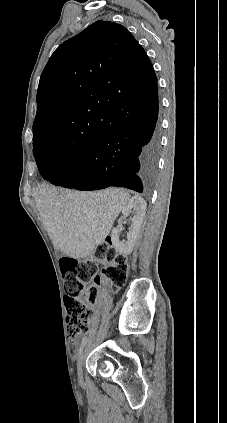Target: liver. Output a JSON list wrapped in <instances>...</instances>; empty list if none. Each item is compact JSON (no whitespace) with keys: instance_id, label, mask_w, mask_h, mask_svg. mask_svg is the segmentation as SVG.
I'll return each mask as SVG.
<instances>
[{"instance_id":"liver-1","label":"liver","mask_w":227,"mask_h":423,"mask_svg":"<svg viewBox=\"0 0 227 423\" xmlns=\"http://www.w3.org/2000/svg\"><path fill=\"white\" fill-rule=\"evenodd\" d=\"M129 198L128 192L119 188L76 192L43 186L35 196V206L55 249L80 259L104 243Z\"/></svg>"}]
</instances>
